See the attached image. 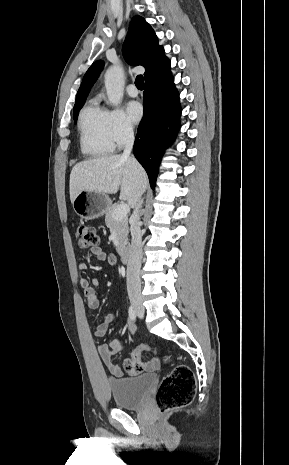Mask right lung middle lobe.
I'll list each match as a JSON object with an SVG mask.
<instances>
[{
	"label": "right lung middle lobe",
	"mask_w": 289,
	"mask_h": 465,
	"mask_svg": "<svg viewBox=\"0 0 289 465\" xmlns=\"http://www.w3.org/2000/svg\"><path fill=\"white\" fill-rule=\"evenodd\" d=\"M84 103H85V100H82V101H79V102L75 103V105H74V120H76V118L78 116V113H79V110L84 105Z\"/></svg>",
	"instance_id": "dd1d6c3e"
}]
</instances>
